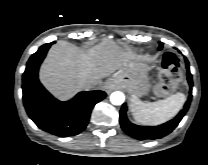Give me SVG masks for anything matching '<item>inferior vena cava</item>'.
Returning <instances> with one entry per match:
<instances>
[{
	"mask_svg": "<svg viewBox=\"0 0 208 165\" xmlns=\"http://www.w3.org/2000/svg\"><path fill=\"white\" fill-rule=\"evenodd\" d=\"M97 87V82H89L86 84V89H93Z\"/></svg>",
	"mask_w": 208,
	"mask_h": 165,
	"instance_id": "inferior-vena-cava-1",
	"label": "inferior vena cava"
}]
</instances>
